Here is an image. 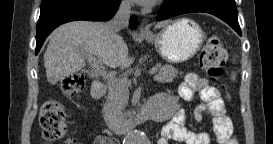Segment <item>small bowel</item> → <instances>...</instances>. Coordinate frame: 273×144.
<instances>
[{
  "instance_id": "1",
  "label": "small bowel",
  "mask_w": 273,
  "mask_h": 144,
  "mask_svg": "<svg viewBox=\"0 0 273 144\" xmlns=\"http://www.w3.org/2000/svg\"><path fill=\"white\" fill-rule=\"evenodd\" d=\"M168 96V95H167ZM170 101L167 109L166 123L161 129L158 144H168L176 141L184 144H210L211 135L207 132H193L185 127L186 112L182 108V102H190L199 99L200 103L195 108L194 116L197 121H202L204 115H208L213 121V130L217 142L221 144H236L233 136L231 121L227 115L226 105L217 88L210 85L207 79L194 72L186 75L179 92L175 96H168ZM76 143L69 141L68 144ZM95 144L116 143L106 136L96 137Z\"/></svg>"
}]
</instances>
